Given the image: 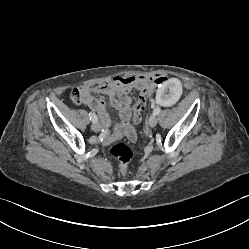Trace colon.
<instances>
[{
  "label": "colon",
  "mask_w": 249,
  "mask_h": 249,
  "mask_svg": "<svg viewBox=\"0 0 249 249\" xmlns=\"http://www.w3.org/2000/svg\"><path fill=\"white\" fill-rule=\"evenodd\" d=\"M161 77V82L164 79L163 76L159 75ZM161 82L159 84H161ZM158 85V84H157ZM83 94L80 92L79 89H75L71 94V99L75 104H81L83 101ZM147 104V97L144 95H141L137 101V103L134 106V120L135 122H140L142 119V112L144 111ZM108 154L114 158H117L120 162V169L121 172L124 174L127 171L128 164L132 158V152L130 148L121 142L115 143L111 145L108 150Z\"/></svg>",
  "instance_id": "obj_1"
}]
</instances>
